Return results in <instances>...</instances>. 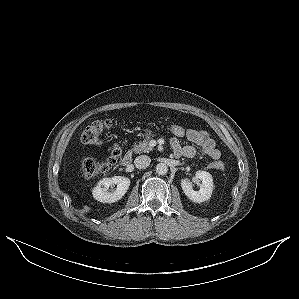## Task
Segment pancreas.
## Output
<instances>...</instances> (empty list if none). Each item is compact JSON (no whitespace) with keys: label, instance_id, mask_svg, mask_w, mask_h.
Returning <instances> with one entry per match:
<instances>
[{"label":"pancreas","instance_id":"pancreas-1","mask_svg":"<svg viewBox=\"0 0 299 299\" xmlns=\"http://www.w3.org/2000/svg\"><path fill=\"white\" fill-rule=\"evenodd\" d=\"M152 150V147L149 145V138L144 139L142 142H139L138 144L133 145L131 152H134L136 154L140 153H148Z\"/></svg>","mask_w":299,"mask_h":299}]
</instances>
